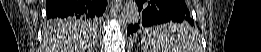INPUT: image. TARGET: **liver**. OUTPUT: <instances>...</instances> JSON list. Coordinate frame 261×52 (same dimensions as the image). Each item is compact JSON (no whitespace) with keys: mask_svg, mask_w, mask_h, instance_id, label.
Returning a JSON list of instances; mask_svg holds the SVG:
<instances>
[{"mask_svg":"<svg viewBox=\"0 0 261 52\" xmlns=\"http://www.w3.org/2000/svg\"><path fill=\"white\" fill-rule=\"evenodd\" d=\"M91 30L86 24L49 21L43 32V41L49 52H92Z\"/></svg>","mask_w":261,"mask_h":52,"instance_id":"obj_1","label":"liver"}]
</instances>
